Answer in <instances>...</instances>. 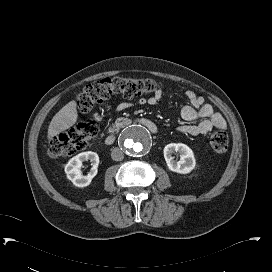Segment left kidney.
Returning a JSON list of instances; mask_svg holds the SVG:
<instances>
[{
    "instance_id": "1",
    "label": "left kidney",
    "mask_w": 272,
    "mask_h": 272,
    "mask_svg": "<svg viewBox=\"0 0 272 272\" xmlns=\"http://www.w3.org/2000/svg\"><path fill=\"white\" fill-rule=\"evenodd\" d=\"M164 158L169 170L179 173L188 174L196 165L194 153L190 147L182 143H170L164 147ZM180 153V160L175 161L172 154Z\"/></svg>"
}]
</instances>
